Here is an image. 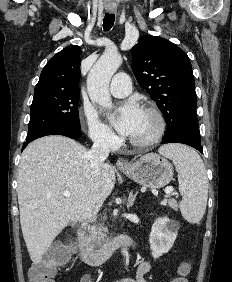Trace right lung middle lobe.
I'll return each mask as SVG.
<instances>
[{"label": "right lung middle lobe", "mask_w": 232, "mask_h": 282, "mask_svg": "<svg viewBox=\"0 0 232 282\" xmlns=\"http://www.w3.org/2000/svg\"><path fill=\"white\" fill-rule=\"evenodd\" d=\"M79 92H38L30 110L28 136L55 125L80 129Z\"/></svg>", "instance_id": "right-lung-middle-lobe-1"}]
</instances>
